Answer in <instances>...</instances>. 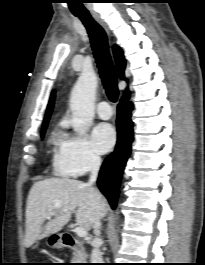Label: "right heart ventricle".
<instances>
[{"label": "right heart ventricle", "instance_id": "1", "mask_svg": "<svg viewBox=\"0 0 205 265\" xmlns=\"http://www.w3.org/2000/svg\"><path fill=\"white\" fill-rule=\"evenodd\" d=\"M59 139H58V136L57 135H54L53 137H52V139H51V144L52 145H57V144H59ZM58 153V152H57ZM57 153L55 154V158H56V156H57Z\"/></svg>", "mask_w": 205, "mask_h": 265}]
</instances>
